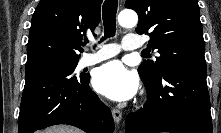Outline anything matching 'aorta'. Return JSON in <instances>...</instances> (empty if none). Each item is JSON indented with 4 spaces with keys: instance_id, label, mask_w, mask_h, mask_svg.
I'll return each mask as SVG.
<instances>
[{
    "instance_id": "aorta-1",
    "label": "aorta",
    "mask_w": 221,
    "mask_h": 133,
    "mask_svg": "<svg viewBox=\"0 0 221 133\" xmlns=\"http://www.w3.org/2000/svg\"><path fill=\"white\" fill-rule=\"evenodd\" d=\"M118 22L125 28L134 27L138 23V16L134 11L123 10L118 15Z\"/></svg>"
}]
</instances>
